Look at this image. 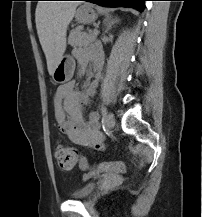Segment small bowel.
<instances>
[{"instance_id":"1","label":"small bowel","mask_w":202,"mask_h":217,"mask_svg":"<svg viewBox=\"0 0 202 217\" xmlns=\"http://www.w3.org/2000/svg\"><path fill=\"white\" fill-rule=\"evenodd\" d=\"M73 54L79 65V74H84L91 59L90 53L75 49ZM94 65L96 68L101 66L98 56L94 58ZM99 82L100 74H97L82 92L76 90L75 81L60 85L54 93V104L55 122L62 133L75 144L101 150L105 143L99 130V115L91 112L85 119L82 110L83 104H88L95 95Z\"/></svg>"}]
</instances>
